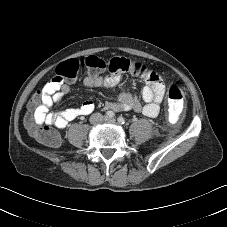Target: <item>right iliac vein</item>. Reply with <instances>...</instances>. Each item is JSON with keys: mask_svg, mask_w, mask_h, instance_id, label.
Here are the masks:
<instances>
[{"mask_svg": "<svg viewBox=\"0 0 227 227\" xmlns=\"http://www.w3.org/2000/svg\"><path fill=\"white\" fill-rule=\"evenodd\" d=\"M103 120V116L102 115H100V114H96V115H94L93 116V118H92V122L93 123H96V122H100V121H102Z\"/></svg>", "mask_w": 227, "mask_h": 227, "instance_id": "obj_1", "label": "right iliac vein"}]
</instances>
